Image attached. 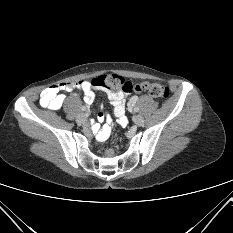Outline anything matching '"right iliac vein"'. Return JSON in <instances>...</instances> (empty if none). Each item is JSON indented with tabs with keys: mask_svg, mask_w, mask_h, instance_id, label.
<instances>
[{
	"mask_svg": "<svg viewBox=\"0 0 233 233\" xmlns=\"http://www.w3.org/2000/svg\"><path fill=\"white\" fill-rule=\"evenodd\" d=\"M87 115L86 114H84V113H81V114H79L78 116H77V118H76V122L78 123V124H85L86 122H87Z\"/></svg>",
	"mask_w": 233,
	"mask_h": 233,
	"instance_id": "obj_1",
	"label": "right iliac vein"
}]
</instances>
